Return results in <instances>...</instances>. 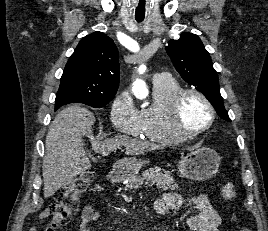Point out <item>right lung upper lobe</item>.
I'll use <instances>...</instances> for the list:
<instances>
[{
    "mask_svg": "<svg viewBox=\"0 0 268 231\" xmlns=\"http://www.w3.org/2000/svg\"><path fill=\"white\" fill-rule=\"evenodd\" d=\"M118 49L102 32L85 36L70 56L56 95L57 103L113 98L119 86Z\"/></svg>",
    "mask_w": 268,
    "mask_h": 231,
    "instance_id": "1",
    "label": "right lung upper lobe"
}]
</instances>
